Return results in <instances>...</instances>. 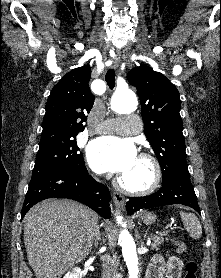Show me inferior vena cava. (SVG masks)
I'll return each mask as SVG.
<instances>
[{"label": "inferior vena cava", "mask_w": 221, "mask_h": 278, "mask_svg": "<svg viewBox=\"0 0 221 278\" xmlns=\"http://www.w3.org/2000/svg\"><path fill=\"white\" fill-rule=\"evenodd\" d=\"M102 261V278H115L118 268L116 258L105 255L102 257Z\"/></svg>", "instance_id": "602c4592"}]
</instances>
